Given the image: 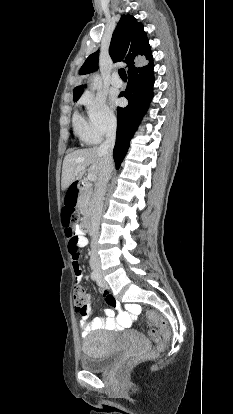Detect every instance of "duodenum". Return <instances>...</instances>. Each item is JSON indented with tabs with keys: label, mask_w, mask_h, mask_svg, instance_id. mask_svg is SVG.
Returning a JSON list of instances; mask_svg holds the SVG:
<instances>
[{
	"label": "duodenum",
	"mask_w": 233,
	"mask_h": 414,
	"mask_svg": "<svg viewBox=\"0 0 233 414\" xmlns=\"http://www.w3.org/2000/svg\"><path fill=\"white\" fill-rule=\"evenodd\" d=\"M71 185L69 188L66 189V194H68L65 198V200L62 201L63 210L65 212H72L74 210V207L77 204L78 201V195L79 193L87 186V183L83 180H71ZM85 219L81 225V228L83 232L85 233H93V225L90 218V214L86 213Z\"/></svg>",
	"instance_id": "410a0bca"
}]
</instances>
